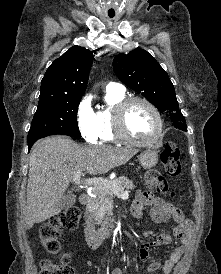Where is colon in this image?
<instances>
[{
  "label": "colon",
  "mask_w": 221,
  "mask_h": 274,
  "mask_svg": "<svg viewBox=\"0 0 221 274\" xmlns=\"http://www.w3.org/2000/svg\"><path fill=\"white\" fill-rule=\"evenodd\" d=\"M161 160L164 171L168 176L177 177L181 174L180 150L174 143L169 142L165 145L161 152ZM146 180L152 190L162 194H169L168 182L163 175L150 172ZM80 218V209L72 206L46 222L39 231L40 241L44 249L51 254H58L60 252L58 237L61 231L63 229L76 228ZM40 274H73V270L68 266V257L64 255L58 263L44 260L41 263Z\"/></svg>",
  "instance_id": "1"
}]
</instances>
